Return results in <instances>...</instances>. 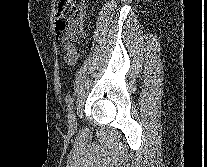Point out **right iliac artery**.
<instances>
[{"label": "right iliac artery", "mask_w": 207, "mask_h": 167, "mask_svg": "<svg viewBox=\"0 0 207 167\" xmlns=\"http://www.w3.org/2000/svg\"><path fill=\"white\" fill-rule=\"evenodd\" d=\"M68 100H69V102H68V106H67L68 108L67 109H68L69 112H71L72 108H73L74 99L72 97H70Z\"/></svg>", "instance_id": "obj_1"}]
</instances>
